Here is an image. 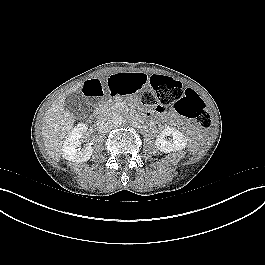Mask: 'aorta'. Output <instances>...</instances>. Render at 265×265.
<instances>
[{"label": "aorta", "instance_id": "762f6f07", "mask_svg": "<svg viewBox=\"0 0 265 265\" xmlns=\"http://www.w3.org/2000/svg\"><path fill=\"white\" fill-rule=\"evenodd\" d=\"M124 121V117L122 114L120 113H114L112 116H111V122L113 125H121Z\"/></svg>", "mask_w": 265, "mask_h": 265}]
</instances>
